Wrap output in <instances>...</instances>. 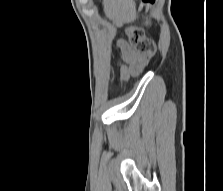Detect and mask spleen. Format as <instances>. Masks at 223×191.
Returning <instances> with one entry per match:
<instances>
[{
    "instance_id": "obj_1",
    "label": "spleen",
    "mask_w": 223,
    "mask_h": 191,
    "mask_svg": "<svg viewBox=\"0 0 223 191\" xmlns=\"http://www.w3.org/2000/svg\"><path fill=\"white\" fill-rule=\"evenodd\" d=\"M103 5L106 16L117 23L129 22L134 18L133 0H104Z\"/></svg>"
}]
</instances>
